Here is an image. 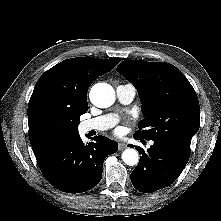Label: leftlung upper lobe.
Returning a JSON list of instances; mask_svg holds the SVG:
<instances>
[{
  "label": "left lung upper lobe",
  "mask_w": 221,
  "mask_h": 221,
  "mask_svg": "<svg viewBox=\"0 0 221 221\" xmlns=\"http://www.w3.org/2000/svg\"><path fill=\"white\" fill-rule=\"evenodd\" d=\"M140 95L145 119L134 137L161 140L190 153L199 129L200 106L184 74L169 63L126 60L116 69Z\"/></svg>",
  "instance_id": "left-lung-upper-lobe-1"
}]
</instances>
